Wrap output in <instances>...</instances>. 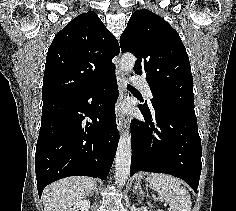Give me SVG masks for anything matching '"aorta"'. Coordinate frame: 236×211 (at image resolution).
<instances>
[{
    "instance_id": "762f6f07",
    "label": "aorta",
    "mask_w": 236,
    "mask_h": 211,
    "mask_svg": "<svg viewBox=\"0 0 236 211\" xmlns=\"http://www.w3.org/2000/svg\"><path fill=\"white\" fill-rule=\"evenodd\" d=\"M135 62L136 57L133 54H123L120 59V69L122 73L128 74L132 72ZM131 156V136L129 131H126L120 135L115 158V182L119 187L125 185L128 175L130 174Z\"/></svg>"
}]
</instances>
